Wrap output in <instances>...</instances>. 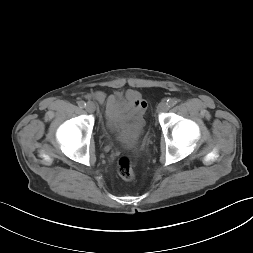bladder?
Listing matches in <instances>:
<instances>
[{
  "mask_svg": "<svg viewBox=\"0 0 253 253\" xmlns=\"http://www.w3.org/2000/svg\"><path fill=\"white\" fill-rule=\"evenodd\" d=\"M143 131L144 121L142 118H139L125 127L121 135V140L126 144H135L141 138Z\"/></svg>",
  "mask_w": 253,
  "mask_h": 253,
  "instance_id": "obj_1",
  "label": "bladder"
}]
</instances>
